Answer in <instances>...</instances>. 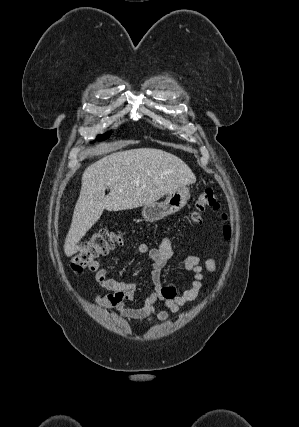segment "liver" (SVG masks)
Returning a JSON list of instances; mask_svg holds the SVG:
<instances>
[{
	"label": "liver",
	"instance_id": "obj_1",
	"mask_svg": "<svg viewBox=\"0 0 299 427\" xmlns=\"http://www.w3.org/2000/svg\"><path fill=\"white\" fill-rule=\"evenodd\" d=\"M196 177L177 156L155 148L112 153L88 166L64 243L67 257L98 221L104 209L120 211L151 204L174 189L193 184ZM110 188L106 196L105 190Z\"/></svg>",
	"mask_w": 299,
	"mask_h": 427
}]
</instances>
